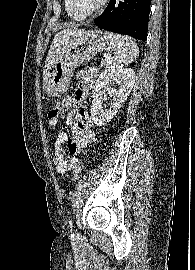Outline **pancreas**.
<instances>
[{"label":"pancreas","instance_id":"obj_1","mask_svg":"<svg viewBox=\"0 0 195 270\" xmlns=\"http://www.w3.org/2000/svg\"><path fill=\"white\" fill-rule=\"evenodd\" d=\"M101 65L104 66V67L110 66V59H107V58L102 59Z\"/></svg>","mask_w":195,"mask_h":270}]
</instances>
